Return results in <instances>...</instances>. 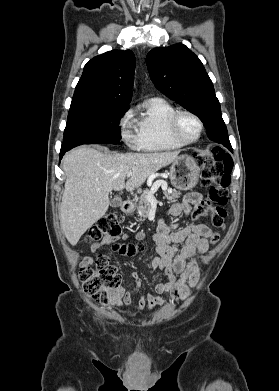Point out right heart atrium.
<instances>
[{"label": "right heart atrium", "mask_w": 279, "mask_h": 391, "mask_svg": "<svg viewBox=\"0 0 279 391\" xmlns=\"http://www.w3.org/2000/svg\"><path fill=\"white\" fill-rule=\"evenodd\" d=\"M120 135L125 144L130 148H138L137 135L135 132L136 123L134 120V111L129 108L125 110L119 119Z\"/></svg>", "instance_id": "d8ad5b80"}]
</instances>
